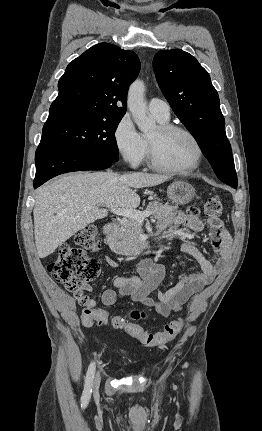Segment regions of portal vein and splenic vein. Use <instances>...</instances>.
Segmentation results:
<instances>
[{
  "instance_id": "1",
  "label": "portal vein and splenic vein",
  "mask_w": 262,
  "mask_h": 431,
  "mask_svg": "<svg viewBox=\"0 0 262 431\" xmlns=\"http://www.w3.org/2000/svg\"><path fill=\"white\" fill-rule=\"evenodd\" d=\"M90 209V207H85L83 210L88 211ZM111 211L118 216H123L125 222L127 221V219H132L142 223L146 217H149L151 215L149 211L141 212L127 208H113L111 209Z\"/></svg>"
}]
</instances>
